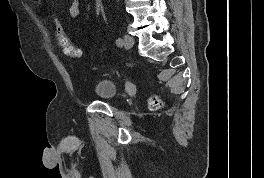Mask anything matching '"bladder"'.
<instances>
[{"mask_svg":"<svg viewBox=\"0 0 264 178\" xmlns=\"http://www.w3.org/2000/svg\"><path fill=\"white\" fill-rule=\"evenodd\" d=\"M94 95L102 101L112 102L118 95L116 85L107 79L97 82L93 88Z\"/></svg>","mask_w":264,"mask_h":178,"instance_id":"31cf9c89","label":"bladder"}]
</instances>
